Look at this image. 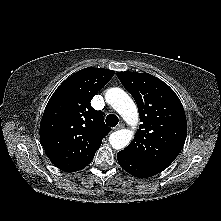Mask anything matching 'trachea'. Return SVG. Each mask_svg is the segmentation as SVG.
I'll return each instance as SVG.
<instances>
[{
	"instance_id": "1",
	"label": "trachea",
	"mask_w": 221,
	"mask_h": 221,
	"mask_svg": "<svg viewBox=\"0 0 221 221\" xmlns=\"http://www.w3.org/2000/svg\"><path fill=\"white\" fill-rule=\"evenodd\" d=\"M119 122L118 117L115 114H109L106 117V124L110 127H115Z\"/></svg>"
}]
</instances>
